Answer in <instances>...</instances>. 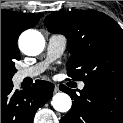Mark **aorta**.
Masks as SVG:
<instances>
[{
  "instance_id": "aorta-1",
  "label": "aorta",
  "mask_w": 123,
  "mask_h": 123,
  "mask_svg": "<svg viewBox=\"0 0 123 123\" xmlns=\"http://www.w3.org/2000/svg\"><path fill=\"white\" fill-rule=\"evenodd\" d=\"M44 46V37L38 31L28 30L20 38L21 50L26 55H38L43 51ZM51 104L58 112H68L72 106V101L68 94L59 92L53 96Z\"/></svg>"
}]
</instances>
